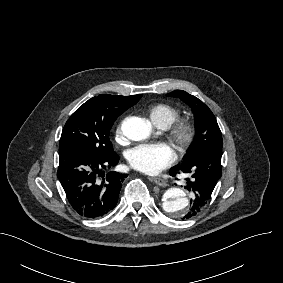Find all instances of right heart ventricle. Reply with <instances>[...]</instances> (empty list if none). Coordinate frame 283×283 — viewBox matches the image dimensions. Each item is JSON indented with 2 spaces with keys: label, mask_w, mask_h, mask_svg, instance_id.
I'll return each instance as SVG.
<instances>
[{
  "label": "right heart ventricle",
  "mask_w": 283,
  "mask_h": 283,
  "mask_svg": "<svg viewBox=\"0 0 283 283\" xmlns=\"http://www.w3.org/2000/svg\"><path fill=\"white\" fill-rule=\"evenodd\" d=\"M148 114L155 126L166 129L178 120L181 111L172 104L160 102L152 105Z\"/></svg>",
  "instance_id": "obj_1"
}]
</instances>
